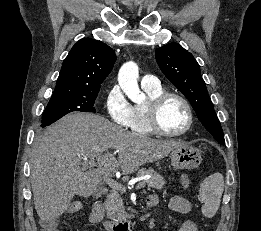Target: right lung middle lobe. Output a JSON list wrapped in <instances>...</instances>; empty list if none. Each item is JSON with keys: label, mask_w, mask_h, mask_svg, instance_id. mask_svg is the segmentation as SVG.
<instances>
[{"label": "right lung middle lobe", "mask_w": 261, "mask_h": 231, "mask_svg": "<svg viewBox=\"0 0 261 231\" xmlns=\"http://www.w3.org/2000/svg\"><path fill=\"white\" fill-rule=\"evenodd\" d=\"M99 90H55L42 116V127L73 111L96 112L94 103Z\"/></svg>", "instance_id": "dd1d6c3e"}]
</instances>
